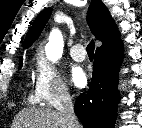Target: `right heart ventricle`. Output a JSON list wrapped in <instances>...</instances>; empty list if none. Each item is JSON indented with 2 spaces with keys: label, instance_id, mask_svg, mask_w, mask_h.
Masks as SVG:
<instances>
[{
  "label": "right heart ventricle",
  "instance_id": "1",
  "mask_svg": "<svg viewBox=\"0 0 142 128\" xmlns=\"http://www.w3.org/2000/svg\"><path fill=\"white\" fill-rule=\"evenodd\" d=\"M29 99H30L31 102H35L37 100V97L34 94V95H30Z\"/></svg>",
  "mask_w": 142,
  "mask_h": 128
}]
</instances>
